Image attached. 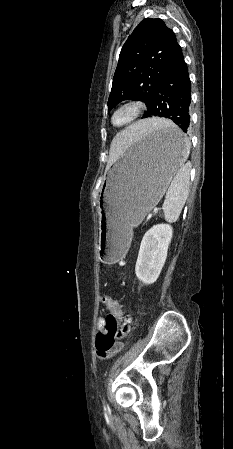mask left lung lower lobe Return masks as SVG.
<instances>
[{"label":"left lung lower lobe","instance_id":"0a47b994","mask_svg":"<svg viewBox=\"0 0 233 449\" xmlns=\"http://www.w3.org/2000/svg\"><path fill=\"white\" fill-rule=\"evenodd\" d=\"M191 83L183 55L164 74L158 83L150 109L143 118L159 116L172 120L184 132L190 130ZM181 134L162 133L158 139L171 148H179L187 141Z\"/></svg>","mask_w":233,"mask_h":449}]
</instances>
